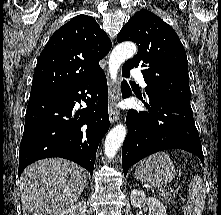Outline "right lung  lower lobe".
Segmentation results:
<instances>
[{"label":"right lung lower lobe","mask_w":221,"mask_h":215,"mask_svg":"<svg viewBox=\"0 0 221 215\" xmlns=\"http://www.w3.org/2000/svg\"><path fill=\"white\" fill-rule=\"evenodd\" d=\"M81 100L87 107L75 111V103ZM108 129L107 80L102 69L63 91L30 99L18 175L27 165L49 157L76 162L92 175L98 144Z\"/></svg>","instance_id":"1"}]
</instances>
